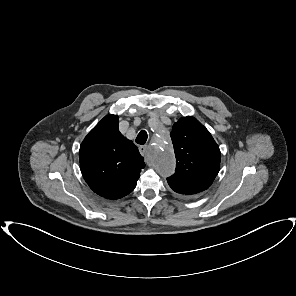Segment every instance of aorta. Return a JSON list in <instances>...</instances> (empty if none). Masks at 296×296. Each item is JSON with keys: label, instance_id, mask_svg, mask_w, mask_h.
Segmentation results:
<instances>
[{"label": "aorta", "instance_id": "aorta-1", "mask_svg": "<svg viewBox=\"0 0 296 296\" xmlns=\"http://www.w3.org/2000/svg\"><path fill=\"white\" fill-rule=\"evenodd\" d=\"M168 144L166 130L158 126L152 146V159L156 170L162 176H170L175 169V158Z\"/></svg>", "mask_w": 296, "mask_h": 296}]
</instances>
